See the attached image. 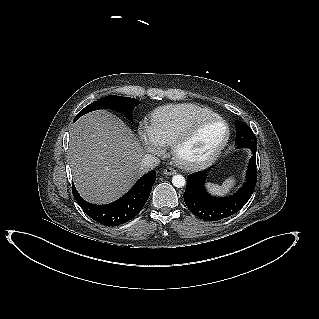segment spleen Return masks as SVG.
<instances>
[{
	"label": "spleen",
	"instance_id": "obj_1",
	"mask_svg": "<svg viewBox=\"0 0 319 319\" xmlns=\"http://www.w3.org/2000/svg\"><path fill=\"white\" fill-rule=\"evenodd\" d=\"M235 182V177H229L222 183L221 186L213 183H208L207 187L209 188L212 194L226 195L234 188Z\"/></svg>",
	"mask_w": 319,
	"mask_h": 319
}]
</instances>
